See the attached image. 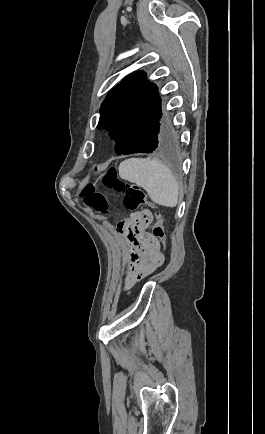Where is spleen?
I'll use <instances>...</instances> for the list:
<instances>
[{
	"label": "spleen",
	"mask_w": 265,
	"mask_h": 434,
	"mask_svg": "<svg viewBox=\"0 0 265 434\" xmlns=\"http://www.w3.org/2000/svg\"><path fill=\"white\" fill-rule=\"evenodd\" d=\"M119 176L146 190L152 202L175 208L178 204V184L169 168L159 160L129 158L119 166Z\"/></svg>",
	"instance_id": "3e777b00"
}]
</instances>
